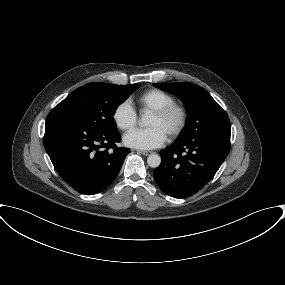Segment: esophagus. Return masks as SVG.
<instances>
[{"mask_svg": "<svg viewBox=\"0 0 285 285\" xmlns=\"http://www.w3.org/2000/svg\"><path fill=\"white\" fill-rule=\"evenodd\" d=\"M137 152H138L139 154L144 155V156H148V155L152 154V152H151V151H142V150H138Z\"/></svg>", "mask_w": 285, "mask_h": 285, "instance_id": "obj_1", "label": "esophagus"}]
</instances>
